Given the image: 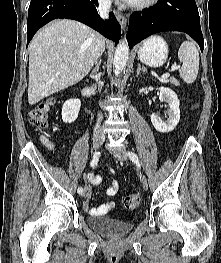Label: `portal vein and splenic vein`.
<instances>
[{
	"mask_svg": "<svg viewBox=\"0 0 221 263\" xmlns=\"http://www.w3.org/2000/svg\"><path fill=\"white\" fill-rule=\"evenodd\" d=\"M178 69H180V66H179V65H173V66L171 67V71H175V70H178ZM169 76H170L169 73H165V74H163V75L161 76V78H162V79H166V78H168Z\"/></svg>",
	"mask_w": 221,
	"mask_h": 263,
	"instance_id": "obj_1",
	"label": "portal vein and splenic vein"
}]
</instances>
